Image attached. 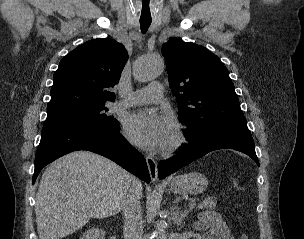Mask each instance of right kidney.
Segmentation results:
<instances>
[{"label": "right kidney", "mask_w": 304, "mask_h": 239, "mask_svg": "<svg viewBox=\"0 0 304 239\" xmlns=\"http://www.w3.org/2000/svg\"><path fill=\"white\" fill-rule=\"evenodd\" d=\"M104 231L98 228H91L87 230L80 239H104Z\"/></svg>", "instance_id": "ca27d5eb"}]
</instances>
